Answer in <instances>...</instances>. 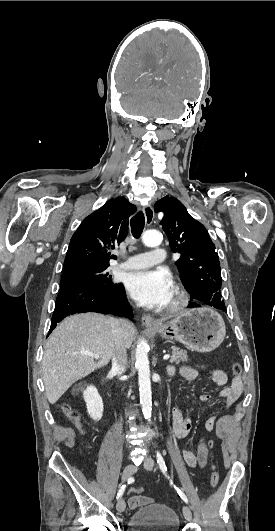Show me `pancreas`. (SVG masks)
<instances>
[{
    "label": "pancreas",
    "instance_id": "1",
    "mask_svg": "<svg viewBox=\"0 0 275 531\" xmlns=\"http://www.w3.org/2000/svg\"><path fill=\"white\" fill-rule=\"evenodd\" d=\"M172 349V357L170 359V363H175V365H179V363H184V361H189L187 351H180L178 347H171Z\"/></svg>",
    "mask_w": 275,
    "mask_h": 531
}]
</instances>
